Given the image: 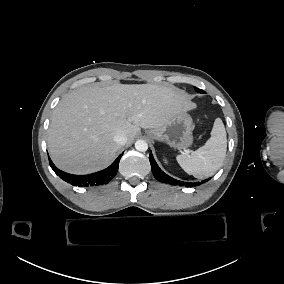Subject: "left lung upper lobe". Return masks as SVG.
<instances>
[{
	"mask_svg": "<svg viewBox=\"0 0 284 284\" xmlns=\"http://www.w3.org/2000/svg\"><path fill=\"white\" fill-rule=\"evenodd\" d=\"M195 90H196L197 92H199V93H205L203 90L198 89V88H195Z\"/></svg>",
	"mask_w": 284,
	"mask_h": 284,
	"instance_id": "1",
	"label": "left lung upper lobe"
}]
</instances>
